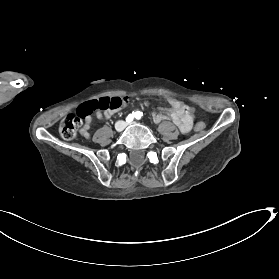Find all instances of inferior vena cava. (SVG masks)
<instances>
[{
  "label": "inferior vena cava",
  "instance_id": "1",
  "mask_svg": "<svg viewBox=\"0 0 279 279\" xmlns=\"http://www.w3.org/2000/svg\"><path fill=\"white\" fill-rule=\"evenodd\" d=\"M128 124V122L126 121V122H124V121H118L116 124H115V128H116V130L117 131H122L123 129H124V127H125V125H127Z\"/></svg>",
  "mask_w": 279,
  "mask_h": 279
}]
</instances>
